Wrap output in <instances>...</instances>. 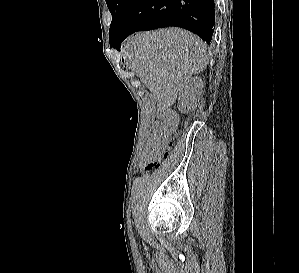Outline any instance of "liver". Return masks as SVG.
<instances>
[{"mask_svg":"<svg viewBox=\"0 0 299 273\" xmlns=\"http://www.w3.org/2000/svg\"><path fill=\"white\" fill-rule=\"evenodd\" d=\"M123 55L128 68L156 95L161 110L175 102L182 84L209 61L206 44L179 28L137 33L125 41Z\"/></svg>","mask_w":299,"mask_h":273,"instance_id":"6515ba94","label":"liver"}]
</instances>
